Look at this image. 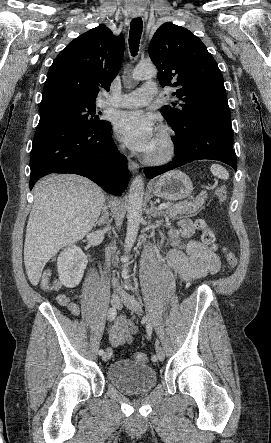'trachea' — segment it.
<instances>
[{"instance_id": "trachea-1", "label": "trachea", "mask_w": 271, "mask_h": 443, "mask_svg": "<svg viewBox=\"0 0 271 443\" xmlns=\"http://www.w3.org/2000/svg\"><path fill=\"white\" fill-rule=\"evenodd\" d=\"M142 29V19L140 17L134 18L131 22L129 33V47L132 56H136L138 52Z\"/></svg>"}]
</instances>
